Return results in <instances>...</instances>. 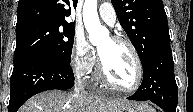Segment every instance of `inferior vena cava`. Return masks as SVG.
Returning a JSON list of instances; mask_svg holds the SVG:
<instances>
[{
  "instance_id": "1",
  "label": "inferior vena cava",
  "mask_w": 193,
  "mask_h": 112,
  "mask_svg": "<svg viewBox=\"0 0 193 112\" xmlns=\"http://www.w3.org/2000/svg\"><path fill=\"white\" fill-rule=\"evenodd\" d=\"M75 92L77 94L85 93V91H84V81L81 79V77H78L77 80H76Z\"/></svg>"
}]
</instances>
